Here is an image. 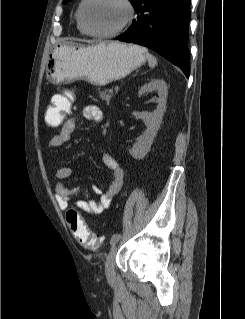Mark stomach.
<instances>
[{
  "label": "stomach",
  "instance_id": "obj_1",
  "mask_svg": "<svg viewBox=\"0 0 245 319\" xmlns=\"http://www.w3.org/2000/svg\"><path fill=\"white\" fill-rule=\"evenodd\" d=\"M145 62V49L138 45L120 42L60 45L50 54L46 77L55 85L86 80L103 86L127 76Z\"/></svg>",
  "mask_w": 245,
  "mask_h": 319
}]
</instances>
